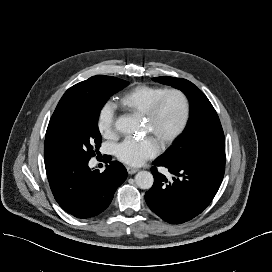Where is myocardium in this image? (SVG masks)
Here are the masks:
<instances>
[{"mask_svg":"<svg viewBox=\"0 0 272 272\" xmlns=\"http://www.w3.org/2000/svg\"><path fill=\"white\" fill-rule=\"evenodd\" d=\"M169 96H176L179 98L182 105V116L176 128L173 131H171L168 135H166L165 138L160 143L162 147L170 145L185 130L190 117V102L187 95L180 89L171 88L163 92L152 103L148 111L144 114L145 119L148 122H153L157 118L163 103Z\"/></svg>","mask_w":272,"mask_h":272,"instance_id":"f54148a6","label":"myocardium"}]
</instances>
